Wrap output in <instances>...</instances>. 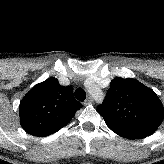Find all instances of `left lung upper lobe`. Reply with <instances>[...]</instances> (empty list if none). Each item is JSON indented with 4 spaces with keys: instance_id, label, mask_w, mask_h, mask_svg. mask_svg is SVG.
<instances>
[{
    "instance_id": "left-lung-upper-lobe-1",
    "label": "left lung upper lobe",
    "mask_w": 164,
    "mask_h": 164,
    "mask_svg": "<svg viewBox=\"0 0 164 164\" xmlns=\"http://www.w3.org/2000/svg\"><path fill=\"white\" fill-rule=\"evenodd\" d=\"M98 113L113 128L153 134L164 118L157 94L132 78H114Z\"/></svg>"
}]
</instances>
